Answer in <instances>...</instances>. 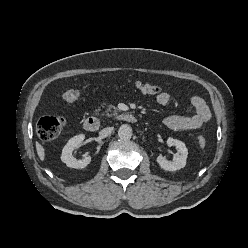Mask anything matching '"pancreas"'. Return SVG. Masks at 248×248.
<instances>
[{
	"label": "pancreas",
	"mask_w": 248,
	"mask_h": 248,
	"mask_svg": "<svg viewBox=\"0 0 248 248\" xmlns=\"http://www.w3.org/2000/svg\"><path fill=\"white\" fill-rule=\"evenodd\" d=\"M111 108L115 109L114 106L110 105L109 108L105 111L107 116H112V114L109 113L111 111ZM117 114H118V111L115 109L113 115H117Z\"/></svg>",
	"instance_id": "1"
}]
</instances>
